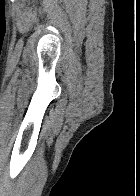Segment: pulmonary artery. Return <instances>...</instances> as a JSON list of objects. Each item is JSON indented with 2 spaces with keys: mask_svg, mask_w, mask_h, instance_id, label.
Segmentation results:
<instances>
[{
  "mask_svg": "<svg viewBox=\"0 0 140 196\" xmlns=\"http://www.w3.org/2000/svg\"><path fill=\"white\" fill-rule=\"evenodd\" d=\"M30 192H40V191H30Z\"/></svg>",
  "mask_w": 140,
  "mask_h": 196,
  "instance_id": "1",
  "label": "pulmonary artery"
}]
</instances>
